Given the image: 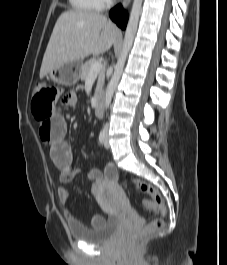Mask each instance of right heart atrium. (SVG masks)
<instances>
[{"mask_svg": "<svg viewBox=\"0 0 227 265\" xmlns=\"http://www.w3.org/2000/svg\"><path fill=\"white\" fill-rule=\"evenodd\" d=\"M99 8H103L107 6L111 0H97Z\"/></svg>", "mask_w": 227, "mask_h": 265, "instance_id": "1", "label": "right heart atrium"}]
</instances>
